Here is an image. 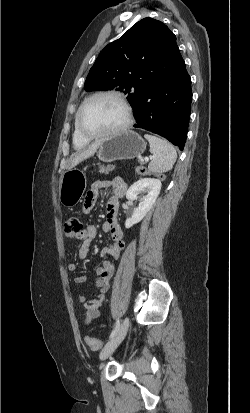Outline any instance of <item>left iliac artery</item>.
<instances>
[{
  "mask_svg": "<svg viewBox=\"0 0 250 413\" xmlns=\"http://www.w3.org/2000/svg\"><path fill=\"white\" fill-rule=\"evenodd\" d=\"M119 328H120V321L117 320L116 324H115V327H114L113 331L110 334V338H112L116 334V332L119 330Z\"/></svg>",
  "mask_w": 250,
  "mask_h": 413,
  "instance_id": "left-iliac-artery-1",
  "label": "left iliac artery"
}]
</instances>
